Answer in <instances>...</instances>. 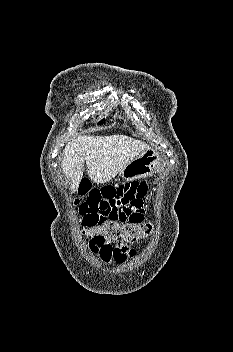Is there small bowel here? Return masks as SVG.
<instances>
[{
  "mask_svg": "<svg viewBox=\"0 0 233 352\" xmlns=\"http://www.w3.org/2000/svg\"><path fill=\"white\" fill-rule=\"evenodd\" d=\"M148 185L145 181H132L122 185H106L94 187L88 180L82 181L79 194L84 198L79 205L82 224L115 219L122 223L145 222ZM92 253L97 254L104 262L115 261L124 263L128 257L134 255V250L127 245L114 241L92 239L89 242Z\"/></svg>",
  "mask_w": 233,
  "mask_h": 352,
  "instance_id": "c3829d8e",
  "label": "small bowel"
}]
</instances>
